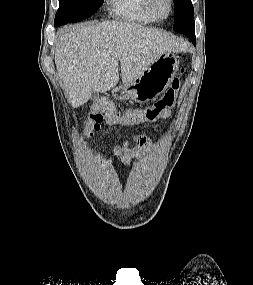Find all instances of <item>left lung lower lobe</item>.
<instances>
[{
  "label": "left lung lower lobe",
  "mask_w": 253,
  "mask_h": 285,
  "mask_svg": "<svg viewBox=\"0 0 253 285\" xmlns=\"http://www.w3.org/2000/svg\"><path fill=\"white\" fill-rule=\"evenodd\" d=\"M185 35H187L191 39L192 43L196 45L195 28L186 32Z\"/></svg>",
  "instance_id": "0a47b994"
}]
</instances>
